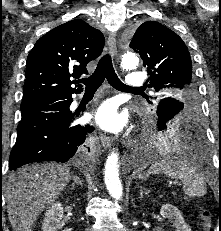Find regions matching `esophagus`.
<instances>
[{"label":"esophagus","instance_id":"esophagus-1","mask_svg":"<svg viewBox=\"0 0 221 231\" xmlns=\"http://www.w3.org/2000/svg\"><path fill=\"white\" fill-rule=\"evenodd\" d=\"M107 48L112 56H115L117 54L116 34L114 32L109 34L108 41H107ZM100 140L104 148L108 149L112 146V142H113L112 137L107 136L105 134H101Z\"/></svg>","mask_w":221,"mask_h":231}]
</instances>
